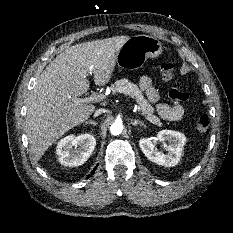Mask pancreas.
<instances>
[{
    "label": "pancreas",
    "instance_id": "cf45deb5",
    "mask_svg": "<svg viewBox=\"0 0 233 233\" xmlns=\"http://www.w3.org/2000/svg\"><path fill=\"white\" fill-rule=\"evenodd\" d=\"M112 92L116 93H123L127 96L132 97L137 102L141 114L152 124L157 126H162L163 123L161 122L160 118L154 115V108L145 98L142 90L139 89L138 85L128 81L127 79H120L117 80L111 86Z\"/></svg>",
    "mask_w": 233,
    "mask_h": 233
}]
</instances>
